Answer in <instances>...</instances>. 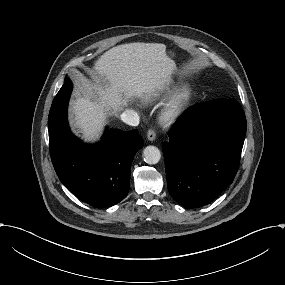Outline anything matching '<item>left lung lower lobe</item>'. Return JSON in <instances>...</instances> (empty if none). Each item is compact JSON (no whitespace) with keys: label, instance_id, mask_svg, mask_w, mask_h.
I'll return each instance as SVG.
<instances>
[{"label":"left lung lower lobe","instance_id":"1","mask_svg":"<svg viewBox=\"0 0 285 285\" xmlns=\"http://www.w3.org/2000/svg\"><path fill=\"white\" fill-rule=\"evenodd\" d=\"M246 118L235 99H216L190 109L162 145L167 186L184 207L209 204L237 173Z\"/></svg>","mask_w":285,"mask_h":285}]
</instances>
